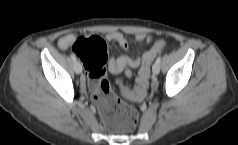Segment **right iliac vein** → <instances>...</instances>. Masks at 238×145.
<instances>
[{"label": "right iliac vein", "mask_w": 238, "mask_h": 145, "mask_svg": "<svg viewBox=\"0 0 238 145\" xmlns=\"http://www.w3.org/2000/svg\"><path fill=\"white\" fill-rule=\"evenodd\" d=\"M74 70L77 74H80L82 72V65L79 61H75Z\"/></svg>", "instance_id": "63e3f726"}]
</instances>
